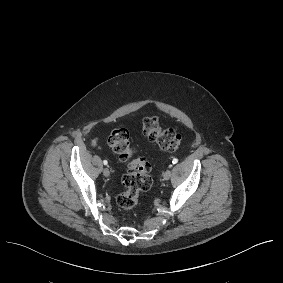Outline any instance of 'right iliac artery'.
<instances>
[{
    "label": "right iliac artery",
    "mask_w": 283,
    "mask_h": 283,
    "mask_svg": "<svg viewBox=\"0 0 283 283\" xmlns=\"http://www.w3.org/2000/svg\"><path fill=\"white\" fill-rule=\"evenodd\" d=\"M103 163H104V165H107L108 162H107V160H104Z\"/></svg>",
    "instance_id": "1"
}]
</instances>
